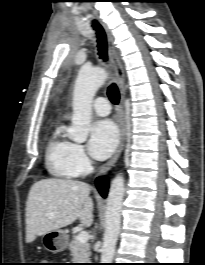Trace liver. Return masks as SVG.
<instances>
[{
    "label": "liver",
    "mask_w": 205,
    "mask_h": 265,
    "mask_svg": "<svg viewBox=\"0 0 205 265\" xmlns=\"http://www.w3.org/2000/svg\"><path fill=\"white\" fill-rule=\"evenodd\" d=\"M89 184L75 180L44 179L33 184L26 203V242L59 230L79 218L82 226L93 222Z\"/></svg>",
    "instance_id": "liver-1"
}]
</instances>
